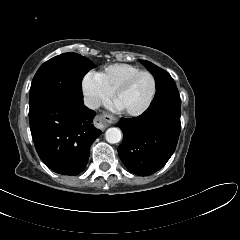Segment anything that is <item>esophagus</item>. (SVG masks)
<instances>
[{
	"label": "esophagus",
	"mask_w": 240,
	"mask_h": 240,
	"mask_svg": "<svg viewBox=\"0 0 240 240\" xmlns=\"http://www.w3.org/2000/svg\"><path fill=\"white\" fill-rule=\"evenodd\" d=\"M114 121V118L109 114H101L98 115L94 121L95 125L100 129L107 128L112 122Z\"/></svg>",
	"instance_id": "obj_1"
}]
</instances>
